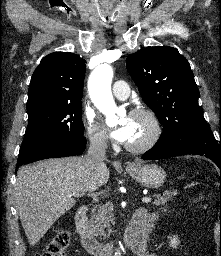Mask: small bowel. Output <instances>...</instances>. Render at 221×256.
Instances as JSON below:
<instances>
[{"instance_id": "c3829d8e", "label": "small bowel", "mask_w": 221, "mask_h": 256, "mask_svg": "<svg viewBox=\"0 0 221 256\" xmlns=\"http://www.w3.org/2000/svg\"><path fill=\"white\" fill-rule=\"evenodd\" d=\"M147 216H148L146 221L147 231L145 235L133 245V250L137 256H158L155 253H152L147 250L146 234L153 227L155 222L158 220L159 216L157 214H150V215L147 214Z\"/></svg>"}]
</instances>
